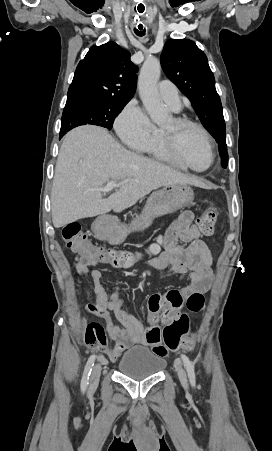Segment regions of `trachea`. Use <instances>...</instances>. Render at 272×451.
Instances as JSON below:
<instances>
[{"instance_id":"3493384b","label":"trachea","mask_w":272,"mask_h":451,"mask_svg":"<svg viewBox=\"0 0 272 451\" xmlns=\"http://www.w3.org/2000/svg\"><path fill=\"white\" fill-rule=\"evenodd\" d=\"M136 34H138V36H143L144 35V33H137V32H136Z\"/></svg>"}]
</instances>
